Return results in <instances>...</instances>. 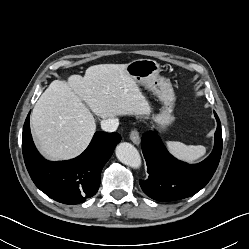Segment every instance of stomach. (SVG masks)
<instances>
[{"label": "stomach", "mask_w": 249, "mask_h": 249, "mask_svg": "<svg viewBox=\"0 0 249 249\" xmlns=\"http://www.w3.org/2000/svg\"><path fill=\"white\" fill-rule=\"evenodd\" d=\"M125 71L138 84L145 86L163 103L160 113L153 116L162 131L174 121L172 115L175 94L170 81L160 76V65L151 59H136L125 66Z\"/></svg>", "instance_id": "stomach-1"}]
</instances>
